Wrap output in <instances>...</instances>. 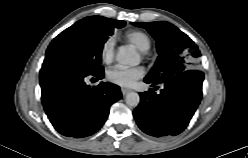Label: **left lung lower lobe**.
I'll use <instances>...</instances> for the list:
<instances>
[{"label": "left lung lower lobe", "instance_id": "obj_1", "mask_svg": "<svg viewBox=\"0 0 248 158\" xmlns=\"http://www.w3.org/2000/svg\"><path fill=\"white\" fill-rule=\"evenodd\" d=\"M203 79L202 72L186 70L163 82L160 94L151 89L140 93V104L133 111L140 129L155 137L181 133L200 103ZM144 81L159 84L146 77Z\"/></svg>", "mask_w": 248, "mask_h": 158}]
</instances>
